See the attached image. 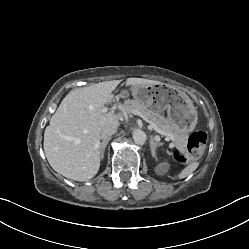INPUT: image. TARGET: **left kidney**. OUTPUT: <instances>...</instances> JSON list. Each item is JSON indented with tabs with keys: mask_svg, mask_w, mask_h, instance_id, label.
I'll return each instance as SVG.
<instances>
[{
	"mask_svg": "<svg viewBox=\"0 0 249 249\" xmlns=\"http://www.w3.org/2000/svg\"><path fill=\"white\" fill-rule=\"evenodd\" d=\"M169 168V165L167 162H163L161 164H159L157 167H156V172L158 175H162L164 172H166Z\"/></svg>",
	"mask_w": 249,
	"mask_h": 249,
	"instance_id": "5707ae66",
	"label": "left kidney"
}]
</instances>
